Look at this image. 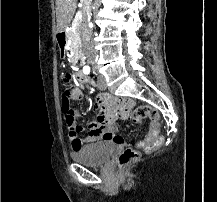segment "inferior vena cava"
<instances>
[{
	"label": "inferior vena cava",
	"mask_w": 217,
	"mask_h": 202,
	"mask_svg": "<svg viewBox=\"0 0 217 202\" xmlns=\"http://www.w3.org/2000/svg\"><path fill=\"white\" fill-rule=\"evenodd\" d=\"M91 2L92 0H81V4H83V8H85L86 18L88 22L90 20ZM80 36H81L82 46L86 58H95L96 52L94 50L91 28H86V30H83L82 28L80 32Z\"/></svg>",
	"instance_id": "1"
}]
</instances>
